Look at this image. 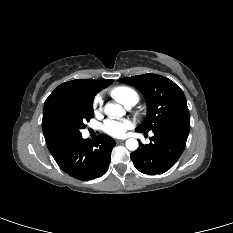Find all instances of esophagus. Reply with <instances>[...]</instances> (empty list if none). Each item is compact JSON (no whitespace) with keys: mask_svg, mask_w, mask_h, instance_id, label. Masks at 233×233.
<instances>
[{"mask_svg":"<svg viewBox=\"0 0 233 233\" xmlns=\"http://www.w3.org/2000/svg\"><path fill=\"white\" fill-rule=\"evenodd\" d=\"M123 141L122 140H116V143H122Z\"/></svg>","mask_w":233,"mask_h":233,"instance_id":"esophagus-1","label":"esophagus"}]
</instances>
